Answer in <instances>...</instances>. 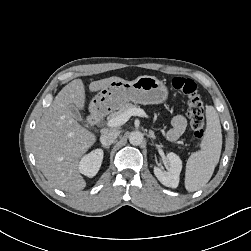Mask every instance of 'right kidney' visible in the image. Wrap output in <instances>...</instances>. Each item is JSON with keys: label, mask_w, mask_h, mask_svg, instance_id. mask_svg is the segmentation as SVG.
I'll return each instance as SVG.
<instances>
[{"label": "right kidney", "mask_w": 251, "mask_h": 251, "mask_svg": "<svg viewBox=\"0 0 251 251\" xmlns=\"http://www.w3.org/2000/svg\"><path fill=\"white\" fill-rule=\"evenodd\" d=\"M103 155L102 149H96L82 157L78 166L80 173L87 177L95 176L100 169Z\"/></svg>", "instance_id": "obj_1"}]
</instances>
